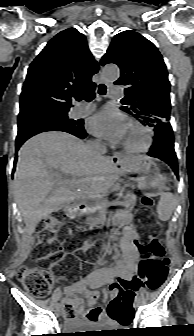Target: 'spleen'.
<instances>
[{"label":"spleen","mask_w":194,"mask_h":336,"mask_svg":"<svg viewBox=\"0 0 194 336\" xmlns=\"http://www.w3.org/2000/svg\"><path fill=\"white\" fill-rule=\"evenodd\" d=\"M167 192L161 195L160 201L158 203V215L162 221H167L170 219L172 212L176 206V199L174 195L166 188Z\"/></svg>","instance_id":"obj_1"}]
</instances>
